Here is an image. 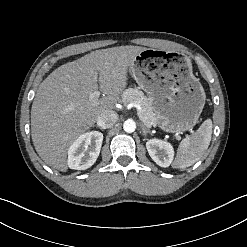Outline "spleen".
<instances>
[{
    "label": "spleen",
    "instance_id": "spleen-1",
    "mask_svg": "<svg viewBox=\"0 0 247 247\" xmlns=\"http://www.w3.org/2000/svg\"><path fill=\"white\" fill-rule=\"evenodd\" d=\"M212 135V121L205 120L191 136L184 138L177 149L173 167L184 169L196 163L209 147Z\"/></svg>",
    "mask_w": 247,
    "mask_h": 247
}]
</instances>
